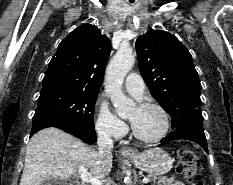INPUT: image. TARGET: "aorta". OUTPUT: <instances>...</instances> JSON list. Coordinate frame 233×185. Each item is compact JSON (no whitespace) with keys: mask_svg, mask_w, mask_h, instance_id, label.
<instances>
[{"mask_svg":"<svg viewBox=\"0 0 233 185\" xmlns=\"http://www.w3.org/2000/svg\"><path fill=\"white\" fill-rule=\"evenodd\" d=\"M135 63L132 51L120 49L110 61L105 76V90L119 117L125 118L135 107L133 100L122 92V84ZM127 185H131L127 182Z\"/></svg>","mask_w":233,"mask_h":185,"instance_id":"aorta-1","label":"aorta"}]
</instances>
